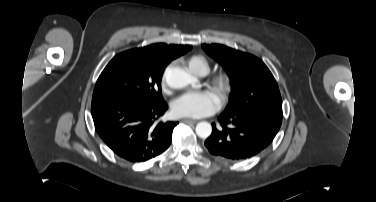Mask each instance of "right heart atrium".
Instances as JSON below:
<instances>
[{
	"label": "right heart atrium",
	"mask_w": 376,
	"mask_h": 202,
	"mask_svg": "<svg viewBox=\"0 0 376 202\" xmlns=\"http://www.w3.org/2000/svg\"><path fill=\"white\" fill-rule=\"evenodd\" d=\"M165 78H166V73L163 74L162 80H161L163 87L165 86Z\"/></svg>",
	"instance_id": "right-heart-atrium-1"
}]
</instances>
